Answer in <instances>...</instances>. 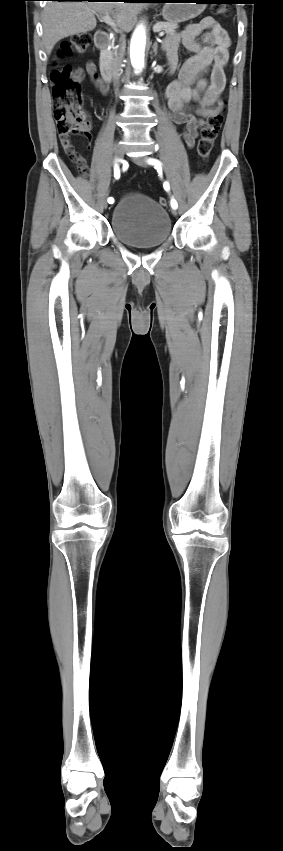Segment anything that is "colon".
Returning <instances> with one entry per match:
<instances>
[{
  "instance_id": "colon-1",
  "label": "colon",
  "mask_w": 283,
  "mask_h": 851,
  "mask_svg": "<svg viewBox=\"0 0 283 851\" xmlns=\"http://www.w3.org/2000/svg\"><path fill=\"white\" fill-rule=\"evenodd\" d=\"M216 15L227 16V6H216L213 9ZM91 37L88 33H77L64 41L59 50V56L66 57L73 53L84 54L89 48ZM52 91L54 96L53 116L56 121L59 137L69 138L70 135L89 137L90 123L82 108L83 98L79 83L73 77L70 66L55 68L50 73ZM223 102L217 104L215 111L211 114L201 129V136L197 144V152L203 159L208 158L214 142L224 122ZM80 173L84 174L86 167L82 159L77 156L73 158ZM159 203L167 205V199L159 198Z\"/></svg>"
}]
</instances>
